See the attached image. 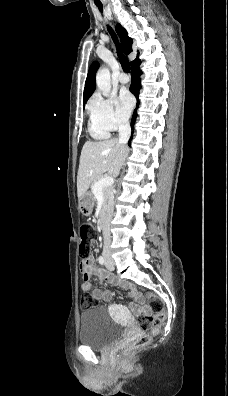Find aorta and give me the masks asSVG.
I'll use <instances>...</instances> for the list:
<instances>
[{
  "label": "aorta",
  "instance_id": "762f6f07",
  "mask_svg": "<svg viewBox=\"0 0 228 396\" xmlns=\"http://www.w3.org/2000/svg\"><path fill=\"white\" fill-rule=\"evenodd\" d=\"M96 85L104 96H107L109 94L111 90V78L108 68H102L97 72Z\"/></svg>",
  "mask_w": 228,
  "mask_h": 396
}]
</instances>
